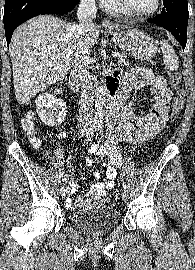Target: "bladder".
I'll use <instances>...</instances> for the list:
<instances>
[{
    "label": "bladder",
    "instance_id": "bladder-1",
    "mask_svg": "<svg viewBox=\"0 0 195 270\" xmlns=\"http://www.w3.org/2000/svg\"><path fill=\"white\" fill-rule=\"evenodd\" d=\"M119 217L120 214L116 208L95 204L75 211L71 220L74 226L83 231L100 234L115 227Z\"/></svg>",
    "mask_w": 195,
    "mask_h": 270
}]
</instances>
